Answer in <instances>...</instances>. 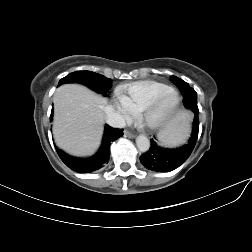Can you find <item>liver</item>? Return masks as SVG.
<instances>
[{"label":"liver","mask_w":252,"mask_h":252,"mask_svg":"<svg viewBox=\"0 0 252 252\" xmlns=\"http://www.w3.org/2000/svg\"><path fill=\"white\" fill-rule=\"evenodd\" d=\"M53 102L57 145L75 156L93 154L101 141L107 100L83 85L65 84L56 90Z\"/></svg>","instance_id":"obj_1"}]
</instances>
